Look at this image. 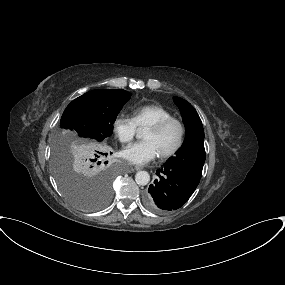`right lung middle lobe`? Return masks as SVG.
<instances>
[{
    "mask_svg": "<svg viewBox=\"0 0 285 285\" xmlns=\"http://www.w3.org/2000/svg\"><path fill=\"white\" fill-rule=\"evenodd\" d=\"M131 94L122 89H99L73 100L65 109L60 127L97 142L112 135L113 123ZM104 162V146H79L60 131L53 145V171L63 194L75 206L87 211L103 208L111 197L112 169L104 165L99 173L90 167ZM108 161L105 162L107 164Z\"/></svg>",
    "mask_w": 285,
    "mask_h": 285,
    "instance_id": "obj_1",
    "label": "right lung middle lobe"
}]
</instances>
